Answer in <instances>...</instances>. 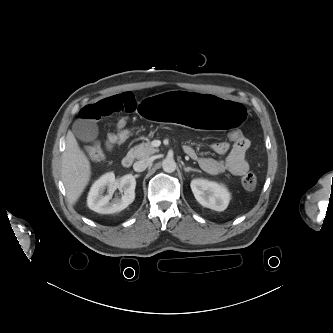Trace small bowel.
<instances>
[{"label":"small bowel","mask_w":333,"mask_h":333,"mask_svg":"<svg viewBox=\"0 0 333 333\" xmlns=\"http://www.w3.org/2000/svg\"><path fill=\"white\" fill-rule=\"evenodd\" d=\"M137 108V102L134 95L130 92L116 94L110 97L103 98L97 102L84 105L79 110V117L83 122L97 121L102 117L111 115L115 112H134ZM127 119L119 120L117 127L126 125ZM117 144L116 135L109 134L106 141L107 149H112ZM90 147H100L98 141H94ZM250 147V142L247 138L233 142L232 145L226 143L213 144L212 148L215 152L227 156L224 161L216 160L211 157H199L191 146H185L184 152L192 159L197 160L200 167L207 173L217 175L228 171L236 176L244 175L249 164L246 160V153Z\"/></svg>","instance_id":"c3829d8e"}]
</instances>
